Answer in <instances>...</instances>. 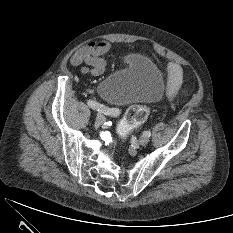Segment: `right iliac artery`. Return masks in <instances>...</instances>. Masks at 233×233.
Wrapping results in <instances>:
<instances>
[{
    "label": "right iliac artery",
    "instance_id": "82829eb1",
    "mask_svg": "<svg viewBox=\"0 0 233 233\" xmlns=\"http://www.w3.org/2000/svg\"><path fill=\"white\" fill-rule=\"evenodd\" d=\"M87 104L90 108L96 109L98 112L104 113L105 115H108L111 117H117L120 114L119 109L104 106L93 100H88Z\"/></svg>",
    "mask_w": 233,
    "mask_h": 233
}]
</instances>
